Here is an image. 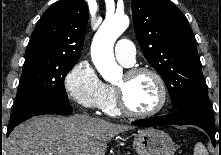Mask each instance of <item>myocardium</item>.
I'll return each mask as SVG.
<instances>
[{
  "instance_id": "myocardium-1",
  "label": "myocardium",
  "mask_w": 221,
  "mask_h": 155,
  "mask_svg": "<svg viewBox=\"0 0 221 155\" xmlns=\"http://www.w3.org/2000/svg\"><path fill=\"white\" fill-rule=\"evenodd\" d=\"M124 74L127 78H133L139 74L151 75L156 80L159 86L160 101L157 107L151 111L137 112V111L132 110L129 107L126 101L123 89L121 87L114 86L113 90H114L116 104H117L119 111L122 114L129 116V117H134V118H148V117H153L157 115L164 109L167 103V99H168L167 86L163 77L156 70L149 68V67H133V68L128 69Z\"/></svg>"
}]
</instances>
